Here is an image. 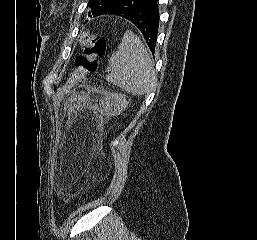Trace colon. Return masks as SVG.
I'll list each match as a JSON object with an SVG mask.
<instances>
[{
  "label": "colon",
  "mask_w": 257,
  "mask_h": 240,
  "mask_svg": "<svg viewBox=\"0 0 257 240\" xmlns=\"http://www.w3.org/2000/svg\"><path fill=\"white\" fill-rule=\"evenodd\" d=\"M79 46L82 53L76 57L75 69L68 81L57 91V102L77 87L88 73L97 71L99 60L107 55L106 39L93 33H84L80 37Z\"/></svg>",
  "instance_id": "5ec220e1"
}]
</instances>
